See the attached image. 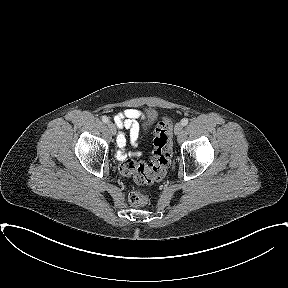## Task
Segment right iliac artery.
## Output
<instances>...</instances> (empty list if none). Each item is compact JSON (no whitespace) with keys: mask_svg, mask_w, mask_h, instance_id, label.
<instances>
[{"mask_svg":"<svg viewBox=\"0 0 288 288\" xmlns=\"http://www.w3.org/2000/svg\"><path fill=\"white\" fill-rule=\"evenodd\" d=\"M102 121H103L104 123H108V122H109V119H108V117L103 116V117H102Z\"/></svg>","mask_w":288,"mask_h":288,"instance_id":"right-iliac-artery-1","label":"right iliac artery"}]
</instances>
